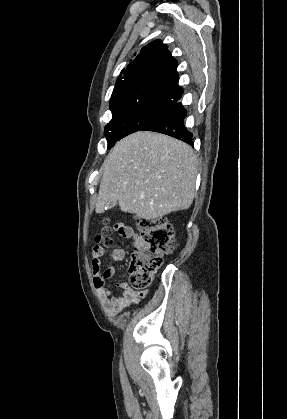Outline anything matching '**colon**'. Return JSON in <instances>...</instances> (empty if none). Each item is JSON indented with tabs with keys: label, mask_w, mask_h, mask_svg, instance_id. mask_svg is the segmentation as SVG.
Returning a JSON list of instances; mask_svg holds the SVG:
<instances>
[{
	"label": "colon",
	"mask_w": 287,
	"mask_h": 419,
	"mask_svg": "<svg viewBox=\"0 0 287 419\" xmlns=\"http://www.w3.org/2000/svg\"><path fill=\"white\" fill-rule=\"evenodd\" d=\"M139 239L133 244L129 270L131 284L136 290L147 288L152 275L160 268L163 257L173 251L175 235L172 225L164 218L138 219ZM111 228L104 227L96 241L107 247L111 243Z\"/></svg>",
	"instance_id": "1"
}]
</instances>
